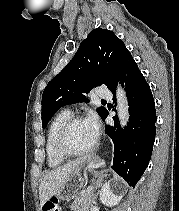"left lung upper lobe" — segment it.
<instances>
[{
    "instance_id": "obj_1",
    "label": "left lung upper lobe",
    "mask_w": 179,
    "mask_h": 211,
    "mask_svg": "<svg viewBox=\"0 0 179 211\" xmlns=\"http://www.w3.org/2000/svg\"><path fill=\"white\" fill-rule=\"evenodd\" d=\"M130 54L112 31L96 28L81 42L69 64L46 86L42 95V125L62 106L88 102L84 93L105 84L114 85L124 60ZM107 110L97 109L102 118Z\"/></svg>"
}]
</instances>
